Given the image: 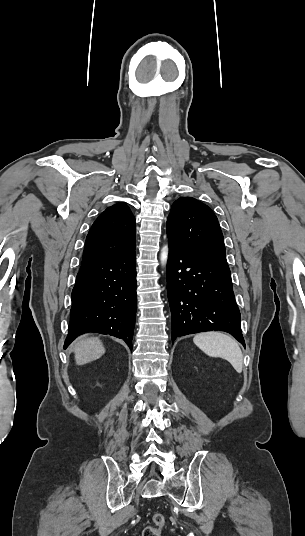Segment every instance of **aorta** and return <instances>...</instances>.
<instances>
[{
	"label": "aorta",
	"instance_id": "aorta-1",
	"mask_svg": "<svg viewBox=\"0 0 305 536\" xmlns=\"http://www.w3.org/2000/svg\"><path fill=\"white\" fill-rule=\"evenodd\" d=\"M160 259H161V263L163 265L167 262V260H168V247L167 246L163 247V249L161 251Z\"/></svg>",
	"mask_w": 305,
	"mask_h": 536
}]
</instances>
